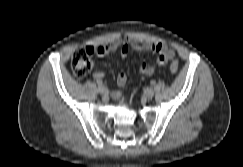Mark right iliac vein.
<instances>
[{"instance_id":"obj_1","label":"right iliac vein","mask_w":243,"mask_h":167,"mask_svg":"<svg viewBox=\"0 0 243 167\" xmlns=\"http://www.w3.org/2000/svg\"><path fill=\"white\" fill-rule=\"evenodd\" d=\"M98 91L103 96H107V94H108V90L105 87H103V86L102 87H99L98 88Z\"/></svg>"}]
</instances>
